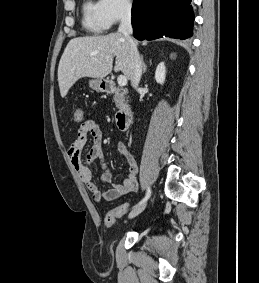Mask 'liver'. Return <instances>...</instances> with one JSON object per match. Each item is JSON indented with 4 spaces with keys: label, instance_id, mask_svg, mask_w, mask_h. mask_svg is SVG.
<instances>
[{
    "label": "liver",
    "instance_id": "liver-1",
    "mask_svg": "<svg viewBox=\"0 0 259 283\" xmlns=\"http://www.w3.org/2000/svg\"><path fill=\"white\" fill-rule=\"evenodd\" d=\"M114 57H116L114 71H122L126 78L130 79V50L121 33L71 39L58 66L61 96L65 97L69 89L82 77L99 79L106 77L113 69Z\"/></svg>",
    "mask_w": 259,
    "mask_h": 283
}]
</instances>
